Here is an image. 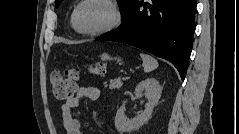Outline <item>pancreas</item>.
<instances>
[{"instance_id":"1","label":"pancreas","mask_w":239,"mask_h":134,"mask_svg":"<svg viewBox=\"0 0 239 134\" xmlns=\"http://www.w3.org/2000/svg\"><path fill=\"white\" fill-rule=\"evenodd\" d=\"M123 85V82L118 78L115 80H110L109 85L105 82L104 86L108 87L110 90L119 89Z\"/></svg>"}]
</instances>
